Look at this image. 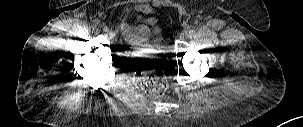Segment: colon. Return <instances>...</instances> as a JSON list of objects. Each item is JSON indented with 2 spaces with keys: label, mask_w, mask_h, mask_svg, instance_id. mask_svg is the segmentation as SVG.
I'll use <instances>...</instances> for the list:
<instances>
[{
  "label": "colon",
  "mask_w": 303,
  "mask_h": 127,
  "mask_svg": "<svg viewBox=\"0 0 303 127\" xmlns=\"http://www.w3.org/2000/svg\"><path fill=\"white\" fill-rule=\"evenodd\" d=\"M165 66L163 61L138 62L135 72L136 86L149 96H162L168 86Z\"/></svg>",
  "instance_id": "colon-1"
}]
</instances>
